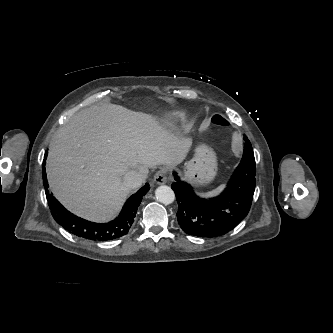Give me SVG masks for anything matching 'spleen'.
I'll return each mask as SVG.
<instances>
[{
    "mask_svg": "<svg viewBox=\"0 0 333 333\" xmlns=\"http://www.w3.org/2000/svg\"><path fill=\"white\" fill-rule=\"evenodd\" d=\"M224 189V185H220L218 188L208 192V193H204L202 194L203 196H206V197H212V196H215L217 195L218 193H220L222 190Z\"/></svg>",
    "mask_w": 333,
    "mask_h": 333,
    "instance_id": "3e777b00",
    "label": "spleen"
}]
</instances>
